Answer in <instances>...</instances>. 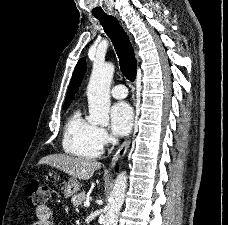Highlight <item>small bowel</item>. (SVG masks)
I'll use <instances>...</instances> for the list:
<instances>
[{
  "label": "small bowel",
  "instance_id": "small-bowel-1",
  "mask_svg": "<svg viewBox=\"0 0 228 225\" xmlns=\"http://www.w3.org/2000/svg\"><path fill=\"white\" fill-rule=\"evenodd\" d=\"M36 222L33 225H53L51 222V210L45 206L36 211Z\"/></svg>",
  "mask_w": 228,
  "mask_h": 225
}]
</instances>
